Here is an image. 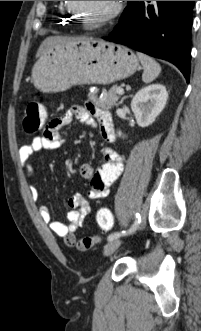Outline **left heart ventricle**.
<instances>
[{
  "label": "left heart ventricle",
  "instance_id": "obj_1",
  "mask_svg": "<svg viewBox=\"0 0 201 331\" xmlns=\"http://www.w3.org/2000/svg\"><path fill=\"white\" fill-rule=\"evenodd\" d=\"M80 14L89 21H94L106 14L113 1H72Z\"/></svg>",
  "mask_w": 201,
  "mask_h": 331
}]
</instances>
